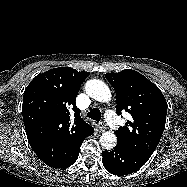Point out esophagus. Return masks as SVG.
Masks as SVG:
<instances>
[{"mask_svg": "<svg viewBox=\"0 0 187 187\" xmlns=\"http://www.w3.org/2000/svg\"><path fill=\"white\" fill-rule=\"evenodd\" d=\"M99 129L101 130V131H105L106 129H107V126H106V123L105 122H100L99 123Z\"/></svg>", "mask_w": 187, "mask_h": 187, "instance_id": "esophagus-1", "label": "esophagus"}]
</instances>
